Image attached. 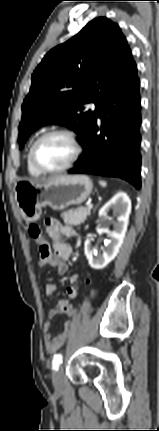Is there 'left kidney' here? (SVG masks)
<instances>
[{
	"label": "left kidney",
	"mask_w": 159,
	"mask_h": 431,
	"mask_svg": "<svg viewBox=\"0 0 159 431\" xmlns=\"http://www.w3.org/2000/svg\"><path fill=\"white\" fill-rule=\"evenodd\" d=\"M113 210L118 215L117 222L114 224V230L108 233L110 238L102 254H97L91 246L88 239L84 244V252L91 268L99 270L106 267L118 254L127 231L129 215L131 212V201L124 192H118L110 201H108L100 210L99 217L104 222L108 221L107 214Z\"/></svg>",
	"instance_id": "left-kidney-1"
}]
</instances>
